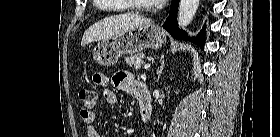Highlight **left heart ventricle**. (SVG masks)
I'll list each match as a JSON object with an SVG mask.
<instances>
[{"label": "left heart ventricle", "mask_w": 280, "mask_h": 137, "mask_svg": "<svg viewBox=\"0 0 280 137\" xmlns=\"http://www.w3.org/2000/svg\"><path fill=\"white\" fill-rule=\"evenodd\" d=\"M140 2H142L143 4H150L151 3L150 0H140Z\"/></svg>", "instance_id": "b2bd125f"}]
</instances>
